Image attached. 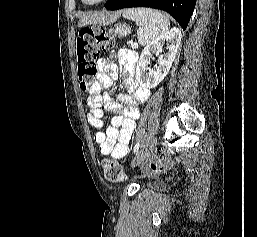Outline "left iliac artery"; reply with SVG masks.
<instances>
[{"label":"left iliac artery","instance_id":"left-iliac-artery-1","mask_svg":"<svg viewBox=\"0 0 257 237\" xmlns=\"http://www.w3.org/2000/svg\"><path fill=\"white\" fill-rule=\"evenodd\" d=\"M140 147V143L138 142L135 146H134V149H133V152L136 153L138 151Z\"/></svg>","mask_w":257,"mask_h":237}]
</instances>
